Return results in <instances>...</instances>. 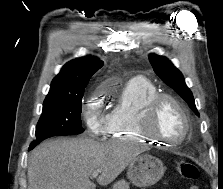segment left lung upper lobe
I'll return each mask as SVG.
<instances>
[{
	"mask_svg": "<svg viewBox=\"0 0 223 189\" xmlns=\"http://www.w3.org/2000/svg\"><path fill=\"white\" fill-rule=\"evenodd\" d=\"M149 61L160 79L176 91L198 115L192 92L187 87L181 72L166 57L150 54Z\"/></svg>",
	"mask_w": 223,
	"mask_h": 189,
	"instance_id": "1",
	"label": "left lung upper lobe"
}]
</instances>
